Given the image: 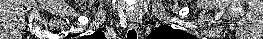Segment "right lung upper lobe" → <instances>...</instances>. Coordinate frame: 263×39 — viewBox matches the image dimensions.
I'll use <instances>...</instances> for the list:
<instances>
[{"label":"right lung upper lobe","instance_id":"obj_1","mask_svg":"<svg viewBox=\"0 0 263 39\" xmlns=\"http://www.w3.org/2000/svg\"><path fill=\"white\" fill-rule=\"evenodd\" d=\"M101 32L100 31H96L95 33H93L90 37L93 39L95 38L97 35H100Z\"/></svg>","mask_w":263,"mask_h":39}]
</instances>
